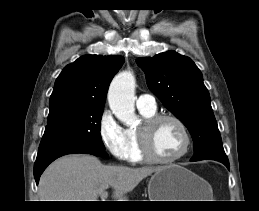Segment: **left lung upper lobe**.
I'll use <instances>...</instances> for the list:
<instances>
[{
	"mask_svg": "<svg viewBox=\"0 0 259 211\" xmlns=\"http://www.w3.org/2000/svg\"><path fill=\"white\" fill-rule=\"evenodd\" d=\"M145 71L149 89L188 128L194 142L191 161H228L210 95L198 67L175 51L137 59Z\"/></svg>",
	"mask_w": 259,
	"mask_h": 211,
	"instance_id": "5c2ea615",
	"label": "left lung upper lobe"
}]
</instances>
